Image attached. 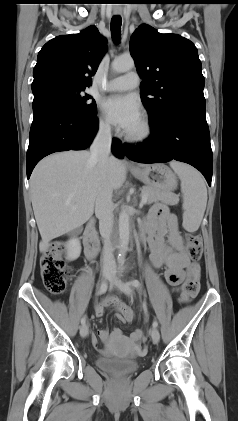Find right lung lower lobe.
<instances>
[{
	"instance_id": "1",
	"label": "right lung lower lobe",
	"mask_w": 238,
	"mask_h": 421,
	"mask_svg": "<svg viewBox=\"0 0 238 421\" xmlns=\"http://www.w3.org/2000/svg\"><path fill=\"white\" fill-rule=\"evenodd\" d=\"M33 122L26 156L27 178L45 156L66 150L87 148L98 130V119L80 114L69 105L52 97L33 100ZM112 152L123 158L122 144L113 139Z\"/></svg>"
}]
</instances>
